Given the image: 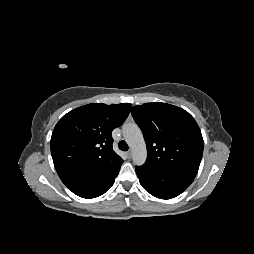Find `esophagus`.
Listing matches in <instances>:
<instances>
[{"label":"esophagus","mask_w":254,"mask_h":254,"mask_svg":"<svg viewBox=\"0 0 254 254\" xmlns=\"http://www.w3.org/2000/svg\"><path fill=\"white\" fill-rule=\"evenodd\" d=\"M127 156H128L129 159L132 157V151H131V150H129V151L127 152Z\"/></svg>","instance_id":"1"}]
</instances>
